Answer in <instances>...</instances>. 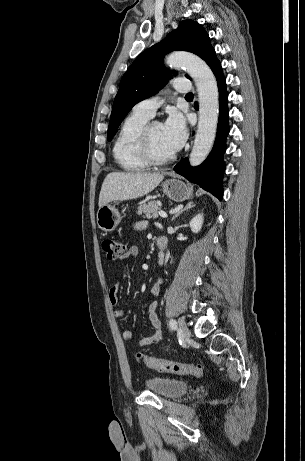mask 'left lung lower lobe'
I'll use <instances>...</instances> for the list:
<instances>
[{
  "mask_svg": "<svg viewBox=\"0 0 305 461\" xmlns=\"http://www.w3.org/2000/svg\"><path fill=\"white\" fill-rule=\"evenodd\" d=\"M209 66L217 79L219 90L220 113L215 144L210 155L201 165L191 167L188 159L185 158L176 164L174 171L222 200V178L225 170L223 154L226 150V137L229 133L228 94L220 61L215 57ZM195 107L197 109V104Z\"/></svg>",
  "mask_w": 305,
  "mask_h": 461,
  "instance_id": "left-lung-lower-lobe-1",
  "label": "left lung lower lobe"
}]
</instances>
